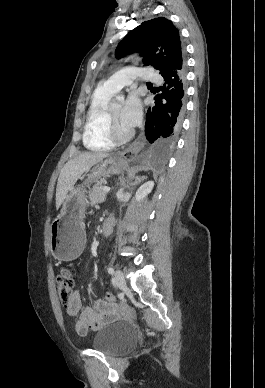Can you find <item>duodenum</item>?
<instances>
[{"label": "duodenum", "instance_id": "1", "mask_svg": "<svg viewBox=\"0 0 265 388\" xmlns=\"http://www.w3.org/2000/svg\"><path fill=\"white\" fill-rule=\"evenodd\" d=\"M115 226V219L113 217H107L102 224V232L104 235L112 233Z\"/></svg>", "mask_w": 265, "mask_h": 388}]
</instances>
